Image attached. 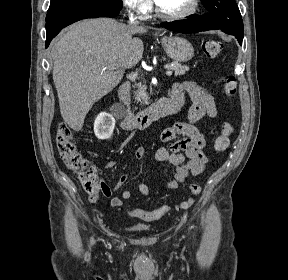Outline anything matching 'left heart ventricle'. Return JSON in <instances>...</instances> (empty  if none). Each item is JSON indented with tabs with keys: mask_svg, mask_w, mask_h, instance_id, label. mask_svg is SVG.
<instances>
[{
	"mask_svg": "<svg viewBox=\"0 0 288 280\" xmlns=\"http://www.w3.org/2000/svg\"><path fill=\"white\" fill-rule=\"evenodd\" d=\"M192 0H158L157 5L167 14H178L187 10Z\"/></svg>",
	"mask_w": 288,
	"mask_h": 280,
	"instance_id": "b2bd125f",
	"label": "left heart ventricle"
}]
</instances>
